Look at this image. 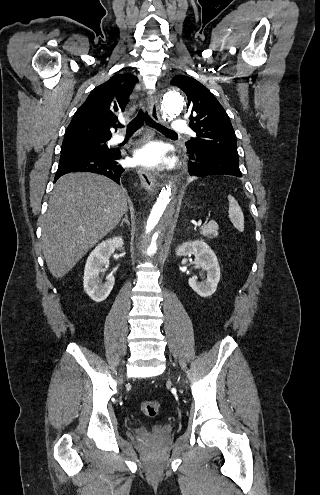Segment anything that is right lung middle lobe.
I'll list each match as a JSON object with an SVG mask.
<instances>
[{
    "label": "right lung middle lobe",
    "instance_id": "dd1d6c3e",
    "mask_svg": "<svg viewBox=\"0 0 320 495\" xmlns=\"http://www.w3.org/2000/svg\"><path fill=\"white\" fill-rule=\"evenodd\" d=\"M109 138H83L76 140L63 141L61 146V152L64 151H95L104 152L108 151L106 142Z\"/></svg>",
    "mask_w": 320,
    "mask_h": 495
}]
</instances>
